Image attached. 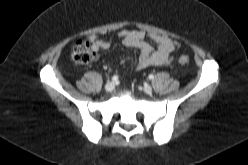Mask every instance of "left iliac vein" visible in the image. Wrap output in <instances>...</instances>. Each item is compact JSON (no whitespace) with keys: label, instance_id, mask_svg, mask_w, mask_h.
Here are the masks:
<instances>
[{"label":"left iliac vein","instance_id":"1","mask_svg":"<svg viewBox=\"0 0 248 165\" xmlns=\"http://www.w3.org/2000/svg\"><path fill=\"white\" fill-rule=\"evenodd\" d=\"M143 90L147 94H150L153 91V89H152V87L150 85H144Z\"/></svg>","mask_w":248,"mask_h":165}]
</instances>
